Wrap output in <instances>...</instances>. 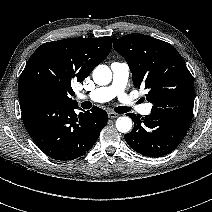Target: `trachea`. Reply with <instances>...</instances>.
Returning <instances> with one entry per match:
<instances>
[{
	"label": "trachea",
	"mask_w": 212,
	"mask_h": 212,
	"mask_svg": "<svg viewBox=\"0 0 212 212\" xmlns=\"http://www.w3.org/2000/svg\"><path fill=\"white\" fill-rule=\"evenodd\" d=\"M129 111H130V109L128 107L119 106V107L115 108V112L120 113V114L129 112Z\"/></svg>",
	"instance_id": "obj_1"
}]
</instances>
